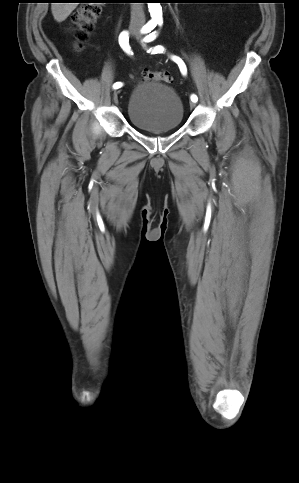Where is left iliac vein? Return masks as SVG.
<instances>
[{
	"instance_id": "obj_1",
	"label": "left iliac vein",
	"mask_w": 299,
	"mask_h": 483,
	"mask_svg": "<svg viewBox=\"0 0 299 483\" xmlns=\"http://www.w3.org/2000/svg\"><path fill=\"white\" fill-rule=\"evenodd\" d=\"M195 106H196L195 102L191 101V102H190V107H191V108H194Z\"/></svg>"
}]
</instances>
